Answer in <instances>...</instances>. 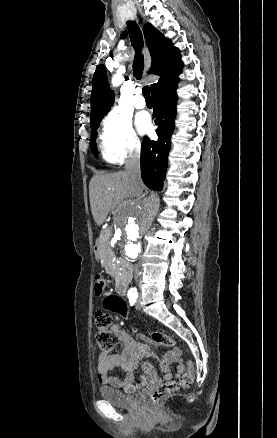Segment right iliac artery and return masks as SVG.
<instances>
[{"label": "right iliac artery", "instance_id": "1", "mask_svg": "<svg viewBox=\"0 0 277 438\" xmlns=\"http://www.w3.org/2000/svg\"><path fill=\"white\" fill-rule=\"evenodd\" d=\"M128 298H129L130 305L133 306L136 302L137 295L131 294V295H128Z\"/></svg>", "mask_w": 277, "mask_h": 438}]
</instances>
